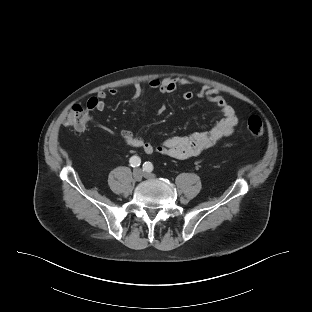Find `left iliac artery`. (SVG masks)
<instances>
[{"instance_id": "left-iliac-artery-1", "label": "left iliac artery", "mask_w": 312, "mask_h": 312, "mask_svg": "<svg viewBox=\"0 0 312 312\" xmlns=\"http://www.w3.org/2000/svg\"><path fill=\"white\" fill-rule=\"evenodd\" d=\"M153 170V165L151 162H145L143 164V171L151 172Z\"/></svg>"}]
</instances>
